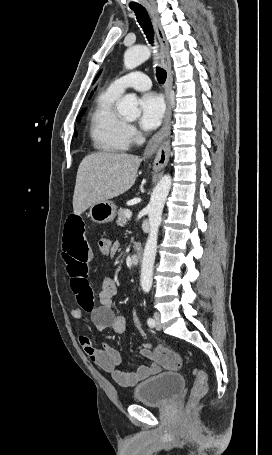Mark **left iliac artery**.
<instances>
[{
    "label": "left iliac artery",
    "instance_id": "1",
    "mask_svg": "<svg viewBox=\"0 0 272 455\" xmlns=\"http://www.w3.org/2000/svg\"><path fill=\"white\" fill-rule=\"evenodd\" d=\"M147 324L149 325V327H154L155 321L152 318H148L147 319Z\"/></svg>",
    "mask_w": 272,
    "mask_h": 455
}]
</instances>
